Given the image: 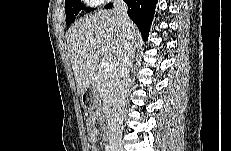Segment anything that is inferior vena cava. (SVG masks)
I'll return each mask as SVG.
<instances>
[{"label": "inferior vena cava", "instance_id": "inferior-vena-cava-1", "mask_svg": "<svg viewBox=\"0 0 231 151\" xmlns=\"http://www.w3.org/2000/svg\"><path fill=\"white\" fill-rule=\"evenodd\" d=\"M128 7L123 0L114 1V11L121 22L126 37L123 53L114 76V100L109 118L110 146L121 142L123 113L125 108V94L127 90V77L134 56V41L132 36L131 20L127 14Z\"/></svg>", "mask_w": 231, "mask_h": 151}]
</instances>
